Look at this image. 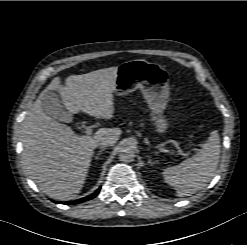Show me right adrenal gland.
Returning <instances> with one entry per match:
<instances>
[{
    "label": "right adrenal gland",
    "instance_id": "right-adrenal-gland-1",
    "mask_svg": "<svg viewBox=\"0 0 247 245\" xmlns=\"http://www.w3.org/2000/svg\"><path fill=\"white\" fill-rule=\"evenodd\" d=\"M104 149H101L98 153H97V156L95 157V160H98L99 159V155L102 154Z\"/></svg>",
    "mask_w": 247,
    "mask_h": 245
}]
</instances>
